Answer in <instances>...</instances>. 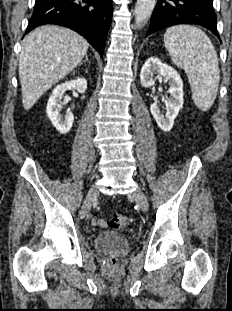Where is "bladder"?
<instances>
[{
  "mask_svg": "<svg viewBox=\"0 0 232 311\" xmlns=\"http://www.w3.org/2000/svg\"><path fill=\"white\" fill-rule=\"evenodd\" d=\"M94 246L99 251L125 252L130 247L127 237L113 231H103L93 238Z\"/></svg>",
  "mask_w": 232,
  "mask_h": 311,
  "instance_id": "31cf9c89",
  "label": "bladder"
}]
</instances>
